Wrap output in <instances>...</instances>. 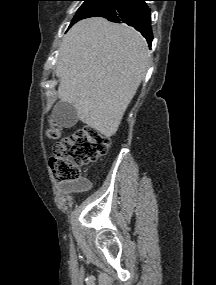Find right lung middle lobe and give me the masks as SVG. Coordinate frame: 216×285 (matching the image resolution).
Masks as SVG:
<instances>
[{"label":"right lung middle lobe","instance_id":"dd1d6c3e","mask_svg":"<svg viewBox=\"0 0 216 285\" xmlns=\"http://www.w3.org/2000/svg\"><path fill=\"white\" fill-rule=\"evenodd\" d=\"M81 1H84V3L78 9L70 26L81 19L93 17L99 14L105 9L113 6L118 0H81Z\"/></svg>","mask_w":216,"mask_h":285}]
</instances>
